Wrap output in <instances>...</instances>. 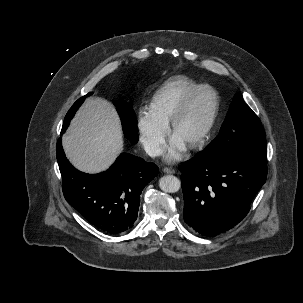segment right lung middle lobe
Returning <instances> with one entry per match:
<instances>
[{
	"mask_svg": "<svg viewBox=\"0 0 303 303\" xmlns=\"http://www.w3.org/2000/svg\"><path fill=\"white\" fill-rule=\"evenodd\" d=\"M92 93H88L84 97H81L78 99L73 106L70 108L68 113L65 116L62 132H64L67 127L69 126L70 120L73 118L75 112L77 109L81 106V104L84 102L85 98L88 95H91ZM117 111L120 115L122 126H123V132L127 139H129L131 142L135 143L138 141V132H137V126L134 116V111L132 109V106L126 102H117L116 103Z\"/></svg>",
	"mask_w": 303,
	"mask_h": 303,
	"instance_id": "1",
	"label": "right lung middle lobe"
}]
</instances>
